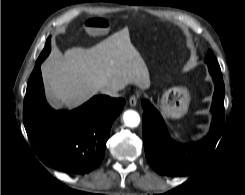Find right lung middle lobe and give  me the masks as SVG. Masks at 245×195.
Segmentation results:
<instances>
[{
    "mask_svg": "<svg viewBox=\"0 0 245 195\" xmlns=\"http://www.w3.org/2000/svg\"><path fill=\"white\" fill-rule=\"evenodd\" d=\"M50 48L51 47L45 45L44 50L42 51V53L40 54V56L38 58L41 62L48 56V54L50 52Z\"/></svg>",
    "mask_w": 245,
    "mask_h": 195,
    "instance_id": "right-lung-middle-lobe-1",
    "label": "right lung middle lobe"
}]
</instances>
